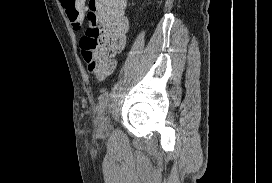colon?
Listing matches in <instances>:
<instances>
[{
    "instance_id": "1",
    "label": "colon",
    "mask_w": 272,
    "mask_h": 183,
    "mask_svg": "<svg viewBox=\"0 0 272 183\" xmlns=\"http://www.w3.org/2000/svg\"><path fill=\"white\" fill-rule=\"evenodd\" d=\"M78 29L85 25L81 54L89 71L99 77L110 72L115 56L123 49L128 20L126 0H60Z\"/></svg>"
}]
</instances>
